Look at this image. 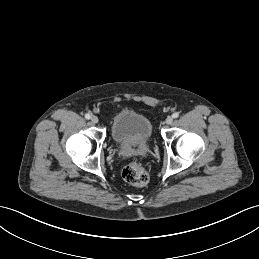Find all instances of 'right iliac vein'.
Masks as SVG:
<instances>
[{
	"label": "right iliac vein",
	"instance_id": "obj_1",
	"mask_svg": "<svg viewBox=\"0 0 259 259\" xmlns=\"http://www.w3.org/2000/svg\"><path fill=\"white\" fill-rule=\"evenodd\" d=\"M91 121H92V123L96 124V123H98L99 119L97 116L93 115V116H91Z\"/></svg>",
	"mask_w": 259,
	"mask_h": 259
}]
</instances>
